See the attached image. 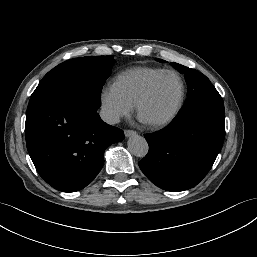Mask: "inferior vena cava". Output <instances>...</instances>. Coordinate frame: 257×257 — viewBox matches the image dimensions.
<instances>
[{
  "label": "inferior vena cava",
  "instance_id": "inferior-vena-cava-1",
  "mask_svg": "<svg viewBox=\"0 0 257 257\" xmlns=\"http://www.w3.org/2000/svg\"><path fill=\"white\" fill-rule=\"evenodd\" d=\"M101 119L108 124H116L120 121V115L110 109L102 108L100 111Z\"/></svg>",
  "mask_w": 257,
  "mask_h": 257
}]
</instances>
